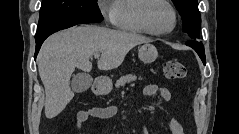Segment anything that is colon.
<instances>
[{
	"label": "colon",
	"instance_id": "obj_1",
	"mask_svg": "<svg viewBox=\"0 0 239 134\" xmlns=\"http://www.w3.org/2000/svg\"><path fill=\"white\" fill-rule=\"evenodd\" d=\"M164 75L169 80H180L185 77L186 68L179 61H169L164 66Z\"/></svg>",
	"mask_w": 239,
	"mask_h": 134
}]
</instances>
